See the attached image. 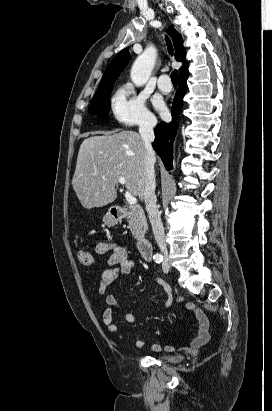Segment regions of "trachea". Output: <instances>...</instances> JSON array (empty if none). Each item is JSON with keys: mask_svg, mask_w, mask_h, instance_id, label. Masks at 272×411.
Segmentation results:
<instances>
[{"mask_svg": "<svg viewBox=\"0 0 272 411\" xmlns=\"http://www.w3.org/2000/svg\"><path fill=\"white\" fill-rule=\"evenodd\" d=\"M165 40H166V45H167L168 52H169V54L172 55L173 54L172 43H171L170 39L167 36H166ZM171 81H172V84L174 86H177V83H178V72H177V70H174L171 73Z\"/></svg>", "mask_w": 272, "mask_h": 411, "instance_id": "1", "label": "trachea"}]
</instances>
